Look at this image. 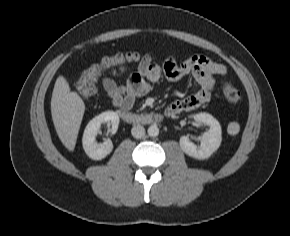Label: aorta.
Wrapping results in <instances>:
<instances>
[{
  "label": "aorta",
  "instance_id": "obj_1",
  "mask_svg": "<svg viewBox=\"0 0 290 236\" xmlns=\"http://www.w3.org/2000/svg\"><path fill=\"white\" fill-rule=\"evenodd\" d=\"M148 135L150 137H156L159 135V128L157 125L153 124L148 128Z\"/></svg>",
  "mask_w": 290,
  "mask_h": 236
}]
</instances>
